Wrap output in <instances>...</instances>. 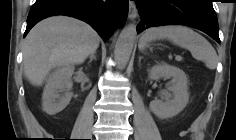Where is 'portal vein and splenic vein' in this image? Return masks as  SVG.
Returning a JSON list of instances; mask_svg holds the SVG:
<instances>
[{"label": "portal vein and splenic vein", "mask_w": 236, "mask_h": 140, "mask_svg": "<svg viewBox=\"0 0 236 140\" xmlns=\"http://www.w3.org/2000/svg\"><path fill=\"white\" fill-rule=\"evenodd\" d=\"M176 60H177V61H180V60H182V57L179 56V55H177V56H176Z\"/></svg>", "instance_id": "portal-vein-and-splenic-vein-1"}]
</instances>
